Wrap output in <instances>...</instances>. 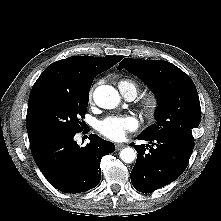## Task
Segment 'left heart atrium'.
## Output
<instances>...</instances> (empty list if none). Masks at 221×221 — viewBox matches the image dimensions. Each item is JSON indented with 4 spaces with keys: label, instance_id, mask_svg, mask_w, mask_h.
I'll return each mask as SVG.
<instances>
[{
    "label": "left heart atrium",
    "instance_id": "1",
    "mask_svg": "<svg viewBox=\"0 0 221 221\" xmlns=\"http://www.w3.org/2000/svg\"><path fill=\"white\" fill-rule=\"evenodd\" d=\"M137 127L138 121L134 116H109L98 123L97 130L106 138L119 141Z\"/></svg>",
    "mask_w": 221,
    "mask_h": 221
}]
</instances>
